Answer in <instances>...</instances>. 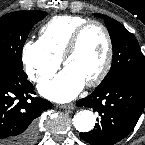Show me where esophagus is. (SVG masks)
Returning <instances> with one entry per match:
<instances>
[{
    "instance_id": "obj_1",
    "label": "esophagus",
    "mask_w": 145,
    "mask_h": 145,
    "mask_svg": "<svg viewBox=\"0 0 145 145\" xmlns=\"http://www.w3.org/2000/svg\"><path fill=\"white\" fill-rule=\"evenodd\" d=\"M74 107H75V105L73 103L63 104L60 106V108H62V109H69V110L74 109Z\"/></svg>"
}]
</instances>
